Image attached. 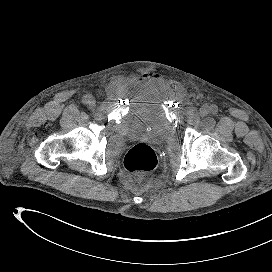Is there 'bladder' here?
<instances>
[{
  "instance_id": "31cf9c89",
  "label": "bladder",
  "mask_w": 272,
  "mask_h": 272,
  "mask_svg": "<svg viewBox=\"0 0 272 272\" xmlns=\"http://www.w3.org/2000/svg\"><path fill=\"white\" fill-rule=\"evenodd\" d=\"M127 134L142 137L155 143L163 142L170 130L166 111L153 100L136 103L125 118Z\"/></svg>"
}]
</instances>
